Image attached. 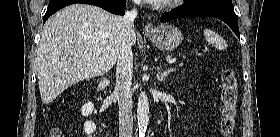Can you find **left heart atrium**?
<instances>
[{
  "label": "left heart atrium",
  "mask_w": 280,
  "mask_h": 137,
  "mask_svg": "<svg viewBox=\"0 0 280 137\" xmlns=\"http://www.w3.org/2000/svg\"><path fill=\"white\" fill-rule=\"evenodd\" d=\"M149 3L154 4V5H158V4H163L168 2V0H148Z\"/></svg>",
  "instance_id": "left-heart-atrium-1"
}]
</instances>
